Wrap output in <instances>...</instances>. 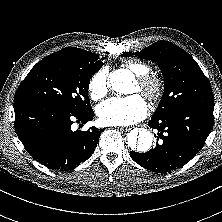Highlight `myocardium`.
<instances>
[{"label":"myocardium","instance_id":"1","mask_svg":"<svg viewBox=\"0 0 222 222\" xmlns=\"http://www.w3.org/2000/svg\"><path fill=\"white\" fill-rule=\"evenodd\" d=\"M137 83L139 90L151 102L159 101L164 94L165 82L160 75L147 73L139 76Z\"/></svg>","mask_w":222,"mask_h":222}]
</instances>
